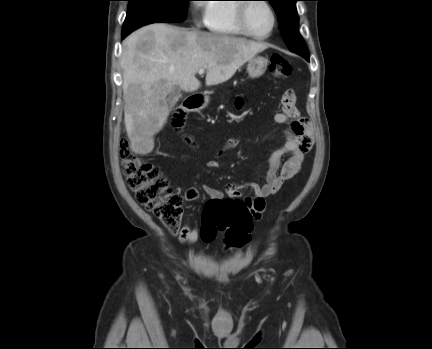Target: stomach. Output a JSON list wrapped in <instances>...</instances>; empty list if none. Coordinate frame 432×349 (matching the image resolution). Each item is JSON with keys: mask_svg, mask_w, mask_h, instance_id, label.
Masks as SVG:
<instances>
[{"mask_svg": "<svg viewBox=\"0 0 432 349\" xmlns=\"http://www.w3.org/2000/svg\"><path fill=\"white\" fill-rule=\"evenodd\" d=\"M268 59L263 56H255L248 61L247 73L251 78H258L263 75L267 69ZM208 98L205 99L203 107L208 104Z\"/></svg>", "mask_w": 432, "mask_h": 349, "instance_id": "stomach-1", "label": "stomach"}]
</instances>
